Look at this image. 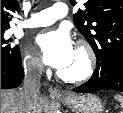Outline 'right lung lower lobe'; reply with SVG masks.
Masks as SVG:
<instances>
[{
  "instance_id": "1",
  "label": "right lung lower lobe",
  "mask_w": 123,
  "mask_h": 113,
  "mask_svg": "<svg viewBox=\"0 0 123 113\" xmlns=\"http://www.w3.org/2000/svg\"><path fill=\"white\" fill-rule=\"evenodd\" d=\"M21 60L15 63L1 61V89L18 87L23 78L24 70Z\"/></svg>"
}]
</instances>
